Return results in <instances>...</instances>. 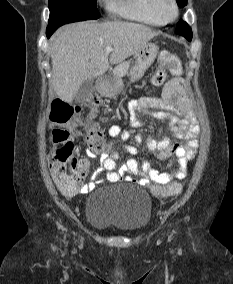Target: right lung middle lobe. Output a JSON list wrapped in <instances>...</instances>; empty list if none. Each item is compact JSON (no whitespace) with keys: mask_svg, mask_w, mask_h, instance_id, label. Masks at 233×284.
Listing matches in <instances>:
<instances>
[{"mask_svg":"<svg viewBox=\"0 0 233 284\" xmlns=\"http://www.w3.org/2000/svg\"><path fill=\"white\" fill-rule=\"evenodd\" d=\"M96 0H49L50 18L47 31L54 32L66 23L98 19Z\"/></svg>","mask_w":233,"mask_h":284,"instance_id":"obj_1","label":"right lung middle lobe"}]
</instances>
